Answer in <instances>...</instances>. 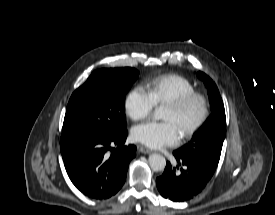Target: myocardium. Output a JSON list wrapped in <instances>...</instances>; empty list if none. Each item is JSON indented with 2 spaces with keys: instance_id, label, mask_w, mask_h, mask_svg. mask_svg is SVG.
<instances>
[{
  "instance_id": "obj_1",
  "label": "myocardium",
  "mask_w": 275,
  "mask_h": 215,
  "mask_svg": "<svg viewBox=\"0 0 275 215\" xmlns=\"http://www.w3.org/2000/svg\"><path fill=\"white\" fill-rule=\"evenodd\" d=\"M195 100H199L201 102L202 112L198 120L182 133V136L185 139L195 135L207 122L210 115V104L208 98L200 92L193 91L165 104L167 107L181 111Z\"/></svg>"
}]
</instances>
